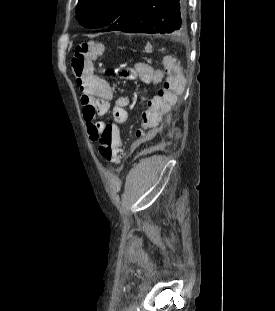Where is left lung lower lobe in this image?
I'll use <instances>...</instances> for the list:
<instances>
[{
  "instance_id": "1",
  "label": "left lung lower lobe",
  "mask_w": 275,
  "mask_h": 311,
  "mask_svg": "<svg viewBox=\"0 0 275 311\" xmlns=\"http://www.w3.org/2000/svg\"><path fill=\"white\" fill-rule=\"evenodd\" d=\"M186 28L185 0H142L134 14L114 31L178 34Z\"/></svg>"
}]
</instances>
